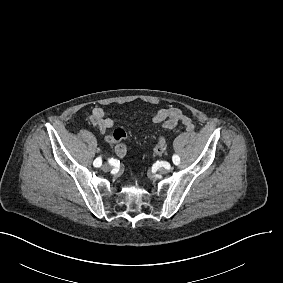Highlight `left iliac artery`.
<instances>
[{
    "label": "left iliac artery",
    "mask_w": 283,
    "mask_h": 283,
    "mask_svg": "<svg viewBox=\"0 0 283 283\" xmlns=\"http://www.w3.org/2000/svg\"><path fill=\"white\" fill-rule=\"evenodd\" d=\"M172 160L175 165H178L180 163V158L178 155H173Z\"/></svg>",
    "instance_id": "44dca946"
}]
</instances>
